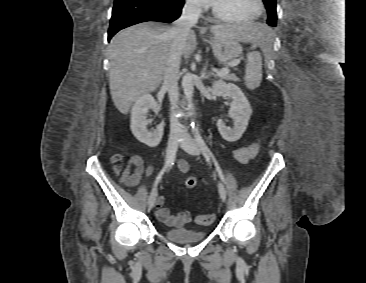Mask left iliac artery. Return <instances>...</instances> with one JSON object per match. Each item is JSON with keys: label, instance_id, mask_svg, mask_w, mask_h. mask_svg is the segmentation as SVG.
Segmentation results:
<instances>
[{"label": "left iliac artery", "instance_id": "1", "mask_svg": "<svg viewBox=\"0 0 366 283\" xmlns=\"http://www.w3.org/2000/svg\"><path fill=\"white\" fill-rule=\"evenodd\" d=\"M193 132H194V135H195V138H196V141L198 142L199 144V147L201 148L203 154L206 156V157H211L213 162H214V165L216 167V170L219 174V177L220 179L225 182V178H224V175H223V172H222V169L220 168L217 160L215 159L213 153L210 151V149L208 148V146L206 145V143L204 142L200 132H199V129L196 125H193Z\"/></svg>", "mask_w": 366, "mask_h": 283}]
</instances>
